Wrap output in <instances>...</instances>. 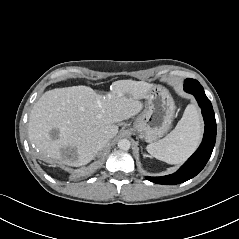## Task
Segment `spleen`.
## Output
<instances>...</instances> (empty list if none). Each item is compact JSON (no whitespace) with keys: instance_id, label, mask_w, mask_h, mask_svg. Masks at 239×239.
<instances>
[{"instance_id":"obj_1","label":"spleen","mask_w":239,"mask_h":239,"mask_svg":"<svg viewBox=\"0 0 239 239\" xmlns=\"http://www.w3.org/2000/svg\"><path fill=\"white\" fill-rule=\"evenodd\" d=\"M201 136L199 112L195 105L189 104L175 129L165 138L147 145L146 149L158 160L168 164H180L195 151Z\"/></svg>"}]
</instances>
